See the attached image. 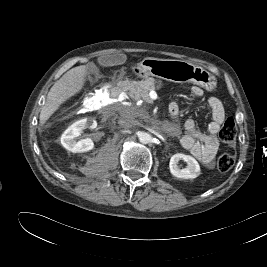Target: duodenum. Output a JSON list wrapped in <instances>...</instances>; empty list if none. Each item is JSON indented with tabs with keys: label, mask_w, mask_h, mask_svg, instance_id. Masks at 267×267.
<instances>
[{
	"label": "duodenum",
	"mask_w": 267,
	"mask_h": 267,
	"mask_svg": "<svg viewBox=\"0 0 267 267\" xmlns=\"http://www.w3.org/2000/svg\"><path fill=\"white\" fill-rule=\"evenodd\" d=\"M129 88V81L128 80H124L122 82L119 83V85H115L113 88H112V95L115 97V98H122L126 91L128 90ZM169 112L172 116H175L176 113L169 108Z\"/></svg>",
	"instance_id": "410a0bca"
}]
</instances>
